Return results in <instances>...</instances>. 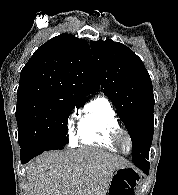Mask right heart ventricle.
Here are the masks:
<instances>
[{"label":"right heart ventricle","instance_id":"e07e8e85","mask_svg":"<svg viewBox=\"0 0 178 195\" xmlns=\"http://www.w3.org/2000/svg\"><path fill=\"white\" fill-rule=\"evenodd\" d=\"M115 109L103 96L93 98L84 108L78 123V140L81 144L117 152L119 149L111 138L120 128Z\"/></svg>","mask_w":178,"mask_h":195}]
</instances>
